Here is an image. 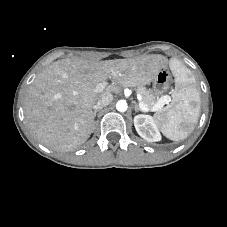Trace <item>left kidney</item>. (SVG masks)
Masks as SVG:
<instances>
[{
  "instance_id": "5707ae66",
  "label": "left kidney",
  "mask_w": 227,
  "mask_h": 227,
  "mask_svg": "<svg viewBox=\"0 0 227 227\" xmlns=\"http://www.w3.org/2000/svg\"><path fill=\"white\" fill-rule=\"evenodd\" d=\"M134 126L137 133L145 140L149 142L160 141L161 135L152 116L145 114L136 115L134 117Z\"/></svg>"
}]
</instances>
